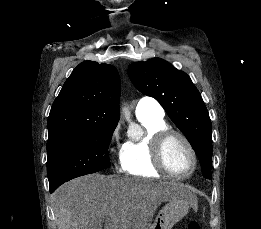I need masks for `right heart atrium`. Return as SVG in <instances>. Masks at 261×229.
Instances as JSON below:
<instances>
[{
    "instance_id": "d8ad5b80",
    "label": "right heart atrium",
    "mask_w": 261,
    "mask_h": 229,
    "mask_svg": "<svg viewBox=\"0 0 261 229\" xmlns=\"http://www.w3.org/2000/svg\"><path fill=\"white\" fill-rule=\"evenodd\" d=\"M117 130L115 129V131L113 132V137L116 136Z\"/></svg>"
}]
</instances>
